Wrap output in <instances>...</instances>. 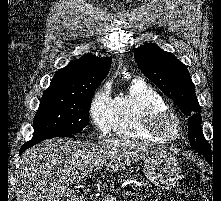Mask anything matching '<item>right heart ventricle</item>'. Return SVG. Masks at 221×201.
I'll use <instances>...</instances> for the list:
<instances>
[{
    "mask_svg": "<svg viewBox=\"0 0 221 201\" xmlns=\"http://www.w3.org/2000/svg\"><path fill=\"white\" fill-rule=\"evenodd\" d=\"M161 108H168L163 97L148 84L135 81L126 94L114 99L112 131L121 137L165 143L142 126L149 111Z\"/></svg>",
    "mask_w": 221,
    "mask_h": 201,
    "instance_id": "e07e8e85",
    "label": "right heart ventricle"
}]
</instances>
